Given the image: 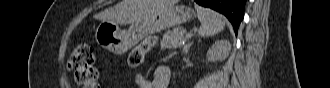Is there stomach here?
I'll return each instance as SVG.
<instances>
[{
    "mask_svg": "<svg viewBox=\"0 0 330 88\" xmlns=\"http://www.w3.org/2000/svg\"><path fill=\"white\" fill-rule=\"evenodd\" d=\"M195 17L193 9L185 5H169L152 16L120 30L116 23L102 21L96 28V42L105 49L123 54L148 35L179 26Z\"/></svg>",
    "mask_w": 330,
    "mask_h": 88,
    "instance_id": "1",
    "label": "stomach"
}]
</instances>
